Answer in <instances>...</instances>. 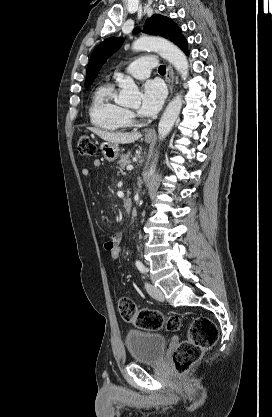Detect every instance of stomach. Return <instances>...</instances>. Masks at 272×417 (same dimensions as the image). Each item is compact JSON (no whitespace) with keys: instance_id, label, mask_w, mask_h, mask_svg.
Masks as SVG:
<instances>
[{"instance_id":"obj_1","label":"stomach","mask_w":272,"mask_h":417,"mask_svg":"<svg viewBox=\"0 0 272 417\" xmlns=\"http://www.w3.org/2000/svg\"><path fill=\"white\" fill-rule=\"evenodd\" d=\"M145 141L147 143H150L152 141V138L145 137ZM100 148L102 150L104 158L108 162H113L119 157L120 148L119 145L116 143L103 142L100 145Z\"/></svg>"}]
</instances>
